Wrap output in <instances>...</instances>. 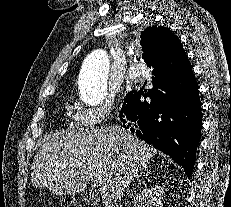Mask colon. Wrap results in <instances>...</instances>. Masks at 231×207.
<instances>
[{
    "label": "colon",
    "instance_id": "1",
    "mask_svg": "<svg viewBox=\"0 0 231 207\" xmlns=\"http://www.w3.org/2000/svg\"><path fill=\"white\" fill-rule=\"evenodd\" d=\"M60 207H80L79 204L73 199H64L60 203Z\"/></svg>",
    "mask_w": 231,
    "mask_h": 207
}]
</instances>
